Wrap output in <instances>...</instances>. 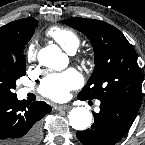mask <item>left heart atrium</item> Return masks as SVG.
I'll return each mask as SVG.
<instances>
[{"mask_svg":"<svg viewBox=\"0 0 145 145\" xmlns=\"http://www.w3.org/2000/svg\"><path fill=\"white\" fill-rule=\"evenodd\" d=\"M82 76L75 69L47 77L42 84L41 93L53 100H65L71 90L82 84Z\"/></svg>","mask_w":145,"mask_h":145,"instance_id":"left-heart-atrium-1","label":"left heart atrium"}]
</instances>
